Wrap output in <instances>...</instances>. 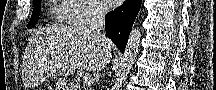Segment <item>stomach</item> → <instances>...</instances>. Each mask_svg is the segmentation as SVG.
I'll return each mask as SVG.
<instances>
[{"mask_svg": "<svg viewBox=\"0 0 216 90\" xmlns=\"http://www.w3.org/2000/svg\"><path fill=\"white\" fill-rule=\"evenodd\" d=\"M56 90H71L70 83L65 78H60L56 84Z\"/></svg>", "mask_w": 216, "mask_h": 90, "instance_id": "stomach-1", "label": "stomach"}]
</instances>
